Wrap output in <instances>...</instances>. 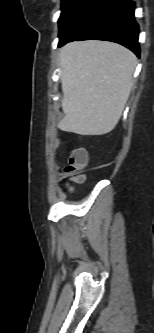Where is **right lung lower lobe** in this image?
Returning <instances> with one entry per match:
<instances>
[{
	"instance_id": "right-lung-lower-lobe-1",
	"label": "right lung lower lobe",
	"mask_w": 154,
	"mask_h": 333,
	"mask_svg": "<svg viewBox=\"0 0 154 333\" xmlns=\"http://www.w3.org/2000/svg\"><path fill=\"white\" fill-rule=\"evenodd\" d=\"M134 8L135 3L131 0H101L72 33L60 40L58 46L74 40H107L119 43L139 56V27Z\"/></svg>"
}]
</instances>
